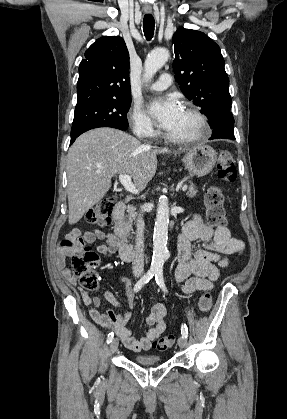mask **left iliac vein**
Wrapping results in <instances>:
<instances>
[{"mask_svg": "<svg viewBox=\"0 0 287 419\" xmlns=\"http://www.w3.org/2000/svg\"><path fill=\"white\" fill-rule=\"evenodd\" d=\"M186 344H187L186 338L183 337V336L179 337V339H178L179 347L184 348L186 346Z\"/></svg>", "mask_w": 287, "mask_h": 419, "instance_id": "left-iliac-vein-1", "label": "left iliac vein"}]
</instances>
